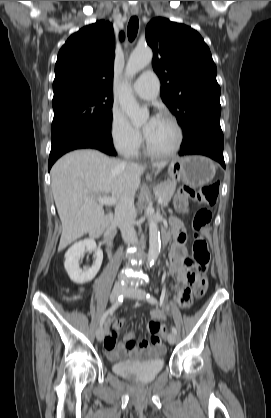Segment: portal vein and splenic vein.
Instances as JSON below:
<instances>
[{
	"mask_svg": "<svg viewBox=\"0 0 271 418\" xmlns=\"http://www.w3.org/2000/svg\"><path fill=\"white\" fill-rule=\"evenodd\" d=\"M97 201L100 204H105V205H115L116 202H117V200L114 197H112V196L111 197H106V196L102 197V196H99V197H97ZM158 203L159 204H162L163 203V199L161 197L158 198Z\"/></svg>",
	"mask_w": 271,
	"mask_h": 418,
	"instance_id": "1",
	"label": "portal vein and splenic vein"
}]
</instances>
